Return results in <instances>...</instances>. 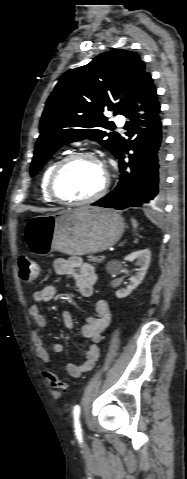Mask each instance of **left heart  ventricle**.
I'll use <instances>...</instances> for the list:
<instances>
[{"instance_id":"1","label":"left heart ventricle","mask_w":187,"mask_h":479,"mask_svg":"<svg viewBox=\"0 0 187 479\" xmlns=\"http://www.w3.org/2000/svg\"><path fill=\"white\" fill-rule=\"evenodd\" d=\"M105 179L103 167L92 159H78L67 165L57 180L59 194L83 199L95 194Z\"/></svg>"}]
</instances>
